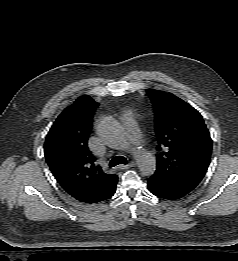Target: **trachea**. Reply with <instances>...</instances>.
<instances>
[{"instance_id":"obj_1","label":"trachea","mask_w":238,"mask_h":261,"mask_svg":"<svg viewBox=\"0 0 238 261\" xmlns=\"http://www.w3.org/2000/svg\"><path fill=\"white\" fill-rule=\"evenodd\" d=\"M119 164H127V159L123 156H116L112 158V160L109 163L110 167H115Z\"/></svg>"}]
</instances>
